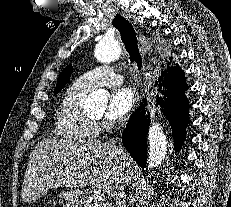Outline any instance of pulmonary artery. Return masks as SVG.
I'll list each match as a JSON object with an SVG mask.
<instances>
[{
  "label": "pulmonary artery",
  "instance_id": "1",
  "mask_svg": "<svg viewBox=\"0 0 231 207\" xmlns=\"http://www.w3.org/2000/svg\"><path fill=\"white\" fill-rule=\"evenodd\" d=\"M122 81V75L116 73L109 65L104 64L80 75L74 84L82 90L90 91L96 87H111Z\"/></svg>",
  "mask_w": 231,
  "mask_h": 207
}]
</instances>
